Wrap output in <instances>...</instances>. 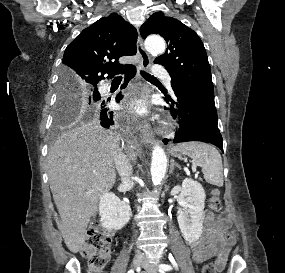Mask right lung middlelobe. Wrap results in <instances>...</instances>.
Returning a JSON list of instances; mask_svg holds the SVG:
<instances>
[{
    "mask_svg": "<svg viewBox=\"0 0 285 273\" xmlns=\"http://www.w3.org/2000/svg\"><path fill=\"white\" fill-rule=\"evenodd\" d=\"M102 97L96 86L76 82L62 73L57 101V124L82 118L98 119Z\"/></svg>",
    "mask_w": 285,
    "mask_h": 273,
    "instance_id": "right-lung-middle-lobe-1",
    "label": "right lung middle lobe"
}]
</instances>
